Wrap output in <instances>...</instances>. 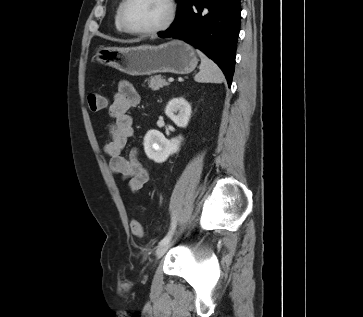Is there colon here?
Wrapping results in <instances>:
<instances>
[{
	"instance_id": "obj_1",
	"label": "colon",
	"mask_w": 363,
	"mask_h": 317,
	"mask_svg": "<svg viewBox=\"0 0 363 317\" xmlns=\"http://www.w3.org/2000/svg\"><path fill=\"white\" fill-rule=\"evenodd\" d=\"M106 98L99 93H91L88 95V105L92 112H99L106 107ZM131 231L134 235L140 236L143 234V227L137 219L130 221Z\"/></svg>"
}]
</instances>
